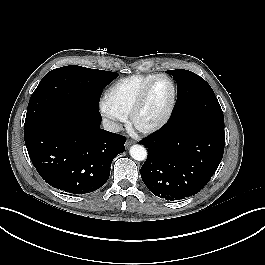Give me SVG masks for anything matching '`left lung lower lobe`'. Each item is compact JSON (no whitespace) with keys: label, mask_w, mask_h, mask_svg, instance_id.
<instances>
[{"label":"left lung lower lobe","mask_w":265,"mask_h":265,"mask_svg":"<svg viewBox=\"0 0 265 265\" xmlns=\"http://www.w3.org/2000/svg\"><path fill=\"white\" fill-rule=\"evenodd\" d=\"M148 157L140 173L156 196L179 200L199 192L215 173L224 152V127L201 120L167 123L141 141Z\"/></svg>","instance_id":"1"}]
</instances>
